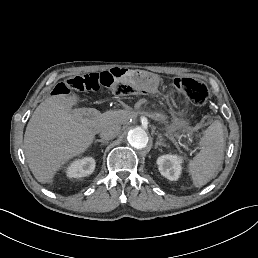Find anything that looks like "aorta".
Returning a JSON list of instances; mask_svg holds the SVG:
<instances>
[{
  "label": "aorta",
  "mask_w": 258,
  "mask_h": 258,
  "mask_svg": "<svg viewBox=\"0 0 258 258\" xmlns=\"http://www.w3.org/2000/svg\"><path fill=\"white\" fill-rule=\"evenodd\" d=\"M127 140L134 148L142 149L147 146L149 137L143 128L136 127L128 132Z\"/></svg>",
  "instance_id": "obj_1"
}]
</instances>
